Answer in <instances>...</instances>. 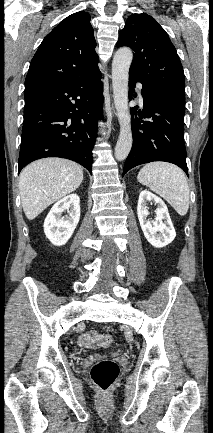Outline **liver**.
Segmentation results:
<instances>
[{"mask_svg":"<svg viewBox=\"0 0 213 433\" xmlns=\"http://www.w3.org/2000/svg\"><path fill=\"white\" fill-rule=\"evenodd\" d=\"M82 181V167L68 159L51 157L29 164L19 176L26 217L35 219L49 205L75 191Z\"/></svg>","mask_w":213,"mask_h":433,"instance_id":"6515ba94","label":"liver"}]
</instances>
